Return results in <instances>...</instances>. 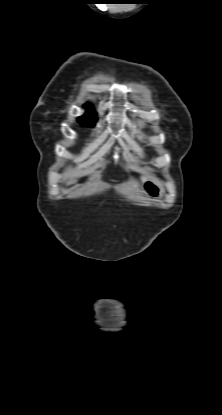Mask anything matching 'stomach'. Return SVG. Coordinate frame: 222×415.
<instances>
[{
	"instance_id": "0dacf381",
	"label": "stomach",
	"mask_w": 222,
	"mask_h": 415,
	"mask_svg": "<svg viewBox=\"0 0 222 415\" xmlns=\"http://www.w3.org/2000/svg\"><path fill=\"white\" fill-rule=\"evenodd\" d=\"M144 189L147 195L152 199H161L165 193L162 186L154 179L145 180Z\"/></svg>"
}]
</instances>
